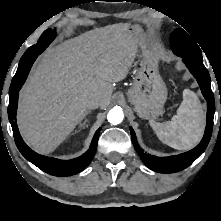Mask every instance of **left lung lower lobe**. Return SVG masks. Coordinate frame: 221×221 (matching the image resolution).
<instances>
[{
	"label": "left lung lower lobe",
	"instance_id": "0a47b994",
	"mask_svg": "<svg viewBox=\"0 0 221 221\" xmlns=\"http://www.w3.org/2000/svg\"><path fill=\"white\" fill-rule=\"evenodd\" d=\"M182 58L186 66L189 68L190 72L197 79L199 86L201 88L202 94L207 100V107H208L207 125L205 129L204 137L202 141L200 142V144L194 149H192L191 151L180 154V155L170 156V157H157V156L144 153V150L141 149L137 143L136 136H135L133 129L130 127L133 145L137 153L141 157L142 161L151 170H154L160 173H172V172H177V171L187 168L204 152L212 134L215 103H214L213 92L211 90V80H210L209 73L201 62H197L189 58H185V57H182Z\"/></svg>",
	"mask_w": 221,
	"mask_h": 221
}]
</instances>
